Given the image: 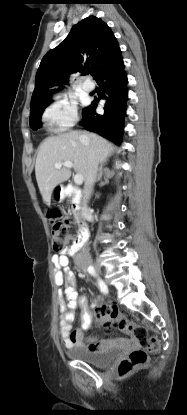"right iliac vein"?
<instances>
[{
  "label": "right iliac vein",
  "mask_w": 187,
  "mask_h": 415,
  "mask_svg": "<svg viewBox=\"0 0 187 415\" xmlns=\"http://www.w3.org/2000/svg\"><path fill=\"white\" fill-rule=\"evenodd\" d=\"M95 271H96L98 274H101V273H102V270H101V268H100L99 266H95Z\"/></svg>",
  "instance_id": "right-iliac-vein-1"
}]
</instances>
